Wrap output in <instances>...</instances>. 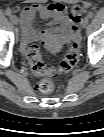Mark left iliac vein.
Returning a JSON list of instances; mask_svg holds the SVG:
<instances>
[{
  "label": "left iliac vein",
  "mask_w": 104,
  "mask_h": 137,
  "mask_svg": "<svg viewBox=\"0 0 104 137\" xmlns=\"http://www.w3.org/2000/svg\"><path fill=\"white\" fill-rule=\"evenodd\" d=\"M88 22H89L88 17H84L83 20H82V23H81L82 28H86L87 25H88Z\"/></svg>",
  "instance_id": "obj_1"
}]
</instances>
